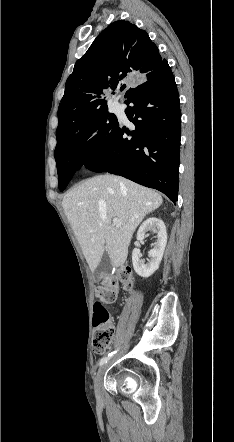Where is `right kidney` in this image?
<instances>
[{"instance_id":"ca27d5eb","label":"right kidney","mask_w":234,"mask_h":442,"mask_svg":"<svg viewBox=\"0 0 234 442\" xmlns=\"http://www.w3.org/2000/svg\"><path fill=\"white\" fill-rule=\"evenodd\" d=\"M147 231H153L157 233V240L155 242V245L148 254L150 258V260H148V263H145V261L141 259L139 249L134 248L132 252V263L134 270L139 276L143 278L150 277L159 268L167 244L166 227L161 219L151 217L145 220L138 229L137 240H143Z\"/></svg>"}]
</instances>
